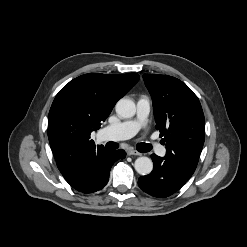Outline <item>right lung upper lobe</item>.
<instances>
[{
    "label": "right lung upper lobe",
    "mask_w": 247,
    "mask_h": 247,
    "mask_svg": "<svg viewBox=\"0 0 247 247\" xmlns=\"http://www.w3.org/2000/svg\"><path fill=\"white\" fill-rule=\"evenodd\" d=\"M139 80V75L89 73L65 85L56 95L48 116V138L58 169L66 181L82 165L106 151L90 134L100 128L115 103Z\"/></svg>",
    "instance_id": "1"
}]
</instances>
